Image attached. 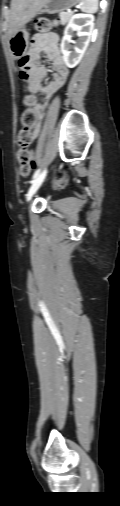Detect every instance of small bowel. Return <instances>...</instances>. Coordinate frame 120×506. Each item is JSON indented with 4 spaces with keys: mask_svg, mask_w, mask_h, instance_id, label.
I'll return each mask as SVG.
<instances>
[{
    "mask_svg": "<svg viewBox=\"0 0 120 506\" xmlns=\"http://www.w3.org/2000/svg\"><path fill=\"white\" fill-rule=\"evenodd\" d=\"M43 55L52 62L54 71L52 80L45 85L42 84V80L47 73V68L40 63V58ZM27 59L25 75L29 79L28 91L32 94L41 93L44 96V102L36 103L32 108L36 114V122L32 130L33 136L36 138L40 133L47 103L52 95L64 85L69 70L63 62L58 40L54 35H36Z\"/></svg>",
    "mask_w": 120,
    "mask_h": 506,
    "instance_id": "1",
    "label": "small bowel"
}]
</instances>
